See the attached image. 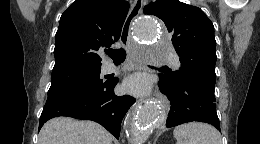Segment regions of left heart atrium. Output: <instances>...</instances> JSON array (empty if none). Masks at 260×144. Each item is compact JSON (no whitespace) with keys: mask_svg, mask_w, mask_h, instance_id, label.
<instances>
[{"mask_svg":"<svg viewBox=\"0 0 260 144\" xmlns=\"http://www.w3.org/2000/svg\"><path fill=\"white\" fill-rule=\"evenodd\" d=\"M151 84L147 76L134 74L129 76L123 85V89L136 95L146 94L150 90Z\"/></svg>","mask_w":260,"mask_h":144,"instance_id":"1","label":"left heart atrium"}]
</instances>
